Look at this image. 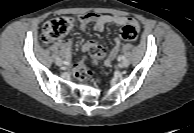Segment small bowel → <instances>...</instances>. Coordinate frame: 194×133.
<instances>
[{"mask_svg": "<svg viewBox=\"0 0 194 133\" xmlns=\"http://www.w3.org/2000/svg\"><path fill=\"white\" fill-rule=\"evenodd\" d=\"M80 26L82 29H84L88 23L93 22L94 23V29L98 32H102L107 24H114L116 26H133L136 30H138L139 25L138 22L130 17H124V16H112V15H105V14H97V13H86L83 15H79L77 17ZM96 42L90 41L81 46V50L83 52H86L90 50V47L95 44ZM57 46L60 48L62 55L69 59L71 55V49L73 46L72 40H66L62 42H57ZM122 42L119 38H116L114 41V45L111 48L108 57L105 61L106 65H109L112 60L116 58L119 51L121 50Z\"/></svg>", "mask_w": 194, "mask_h": 133, "instance_id": "1", "label": "small bowel"}]
</instances>
